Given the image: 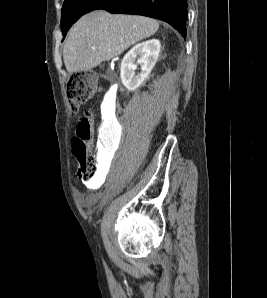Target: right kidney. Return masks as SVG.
Returning <instances> with one entry per match:
<instances>
[{
  "instance_id": "right-kidney-1",
  "label": "right kidney",
  "mask_w": 267,
  "mask_h": 298,
  "mask_svg": "<svg viewBox=\"0 0 267 298\" xmlns=\"http://www.w3.org/2000/svg\"><path fill=\"white\" fill-rule=\"evenodd\" d=\"M160 47L159 40L151 39L135 45L124 56L121 62L120 76L123 85L129 91L136 90L148 77L158 59ZM137 64L141 66V72L135 75Z\"/></svg>"
}]
</instances>
